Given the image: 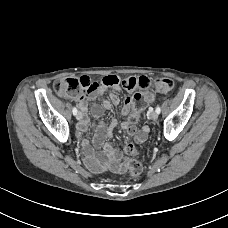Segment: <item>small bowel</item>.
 I'll list each match as a JSON object with an SVG mask.
<instances>
[{
	"label": "small bowel",
	"mask_w": 228,
	"mask_h": 228,
	"mask_svg": "<svg viewBox=\"0 0 228 228\" xmlns=\"http://www.w3.org/2000/svg\"><path fill=\"white\" fill-rule=\"evenodd\" d=\"M118 92L119 87L115 86V88L109 93V99L102 98L101 105L95 103L91 107V113L97 119L93 144L96 147L103 145L104 154L109 161L111 168L117 172L121 171L123 168L120 164L121 154L115 147H113L112 144L105 143V140L106 138L111 137L113 129L118 125V121L113 120L110 127L107 128L102 120V117L104 109H111L113 106H117L120 103ZM102 95L103 91L97 90L95 92L88 93L87 96L82 95L77 97L76 101L81 111L80 123L77 125L79 133L86 131L89 125L88 101L94 100L97 97H102ZM131 110V98H127L124 102L122 113L125 116H130ZM120 126L123 130L127 131L129 136L134 137L137 142L142 143L147 139L148 128L145 126L137 128V124L131 123L129 119L122 122ZM84 147L88 152L90 151V145L88 142H84Z\"/></svg>",
	"instance_id": "small-bowel-1"
}]
</instances>
